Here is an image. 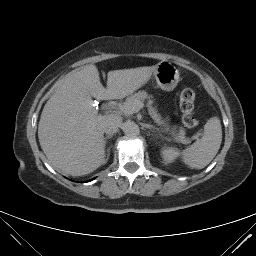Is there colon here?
<instances>
[{"label":"colon","mask_w":256,"mask_h":256,"mask_svg":"<svg viewBox=\"0 0 256 256\" xmlns=\"http://www.w3.org/2000/svg\"><path fill=\"white\" fill-rule=\"evenodd\" d=\"M195 91L192 88H184L180 94V108L182 111V120L186 127L195 128L199 121L193 117Z\"/></svg>","instance_id":"obj_1"}]
</instances>
